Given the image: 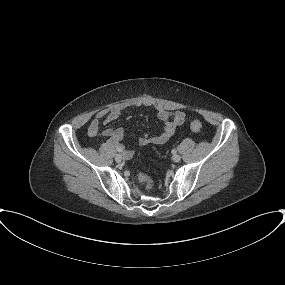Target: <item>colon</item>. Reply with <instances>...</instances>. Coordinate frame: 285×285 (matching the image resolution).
Masks as SVG:
<instances>
[{
    "instance_id": "1",
    "label": "colon",
    "mask_w": 285,
    "mask_h": 285,
    "mask_svg": "<svg viewBox=\"0 0 285 285\" xmlns=\"http://www.w3.org/2000/svg\"><path fill=\"white\" fill-rule=\"evenodd\" d=\"M190 127L191 129L196 132V133H199L202 131V125L199 121L197 120H193L191 123H190ZM138 179L140 182L142 183H145L147 185H151L152 184V180L149 176H147L146 174H143V173H138Z\"/></svg>"
}]
</instances>
